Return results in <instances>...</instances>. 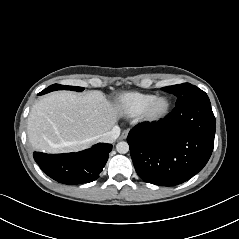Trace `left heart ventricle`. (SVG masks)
I'll return each instance as SVG.
<instances>
[{"instance_id":"left-heart-ventricle-1","label":"left heart ventricle","mask_w":239,"mask_h":239,"mask_svg":"<svg viewBox=\"0 0 239 239\" xmlns=\"http://www.w3.org/2000/svg\"><path fill=\"white\" fill-rule=\"evenodd\" d=\"M162 107H163V103H158V104L155 106L154 111H155V112H158V111H160V110L162 109Z\"/></svg>"}]
</instances>
